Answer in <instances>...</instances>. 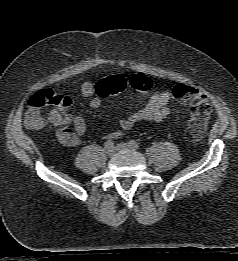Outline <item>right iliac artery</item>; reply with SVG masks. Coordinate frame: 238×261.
I'll return each instance as SVG.
<instances>
[{"label":"right iliac artery","mask_w":238,"mask_h":261,"mask_svg":"<svg viewBox=\"0 0 238 261\" xmlns=\"http://www.w3.org/2000/svg\"><path fill=\"white\" fill-rule=\"evenodd\" d=\"M104 146H105V148L113 147V146H114V143H113L112 140H107V141L104 143Z\"/></svg>","instance_id":"1"}]
</instances>
